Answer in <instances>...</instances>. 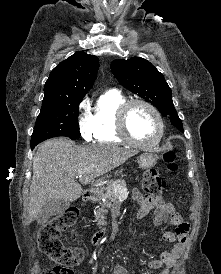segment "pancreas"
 I'll list each match as a JSON object with an SVG mask.
<instances>
[{"instance_id": "cf45deb5", "label": "pancreas", "mask_w": 221, "mask_h": 274, "mask_svg": "<svg viewBox=\"0 0 221 274\" xmlns=\"http://www.w3.org/2000/svg\"><path fill=\"white\" fill-rule=\"evenodd\" d=\"M105 193H100L95 198L96 201H100L101 199L107 200L103 202L102 207L99 208L95 213L96 222L98 226H103L106 224L105 216L104 214L108 213L107 208L111 207V202H114L118 199V196L120 193H124L125 195L128 194L127 188H126V181L122 179H118L115 181H112L107 187H106ZM110 201V202H108Z\"/></svg>"}]
</instances>
